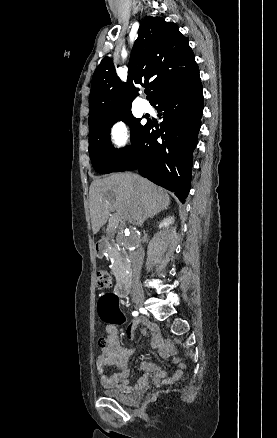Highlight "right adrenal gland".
<instances>
[{
  "label": "right adrenal gland",
  "mask_w": 277,
  "mask_h": 438,
  "mask_svg": "<svg viewBox=\"0 0 277 438\" xmlns=\"http://www.w3.org/2000/svg\"><path fill=\"white\" fill-rule=\"evenodd\" d=\"M148 216H143L142 218V222H145V220H147Z\"/></svg>",
  "instance_id": "2a0ac1e0"
}]
</instances>
